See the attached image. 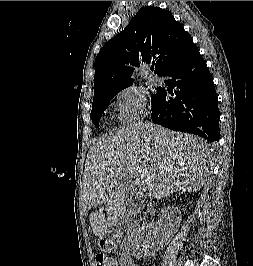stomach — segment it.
<instances>
[{
  "mask_svg": "<svg viewBox=\"0 0 253 266\" xmlns=\"http://www.w3.org/2000/svg\"><path fill=\"white\" fill-rule=\"evenodd\" d=\"M117 243L110 239L109 235L105 234L99 239V248L102 251H111L116 247Z\"/></svg>",
  "mask_w": 253,
  "mask_h": 266,
  "instance_id": "1",
  "label": "stomach"
}]
</instances>
